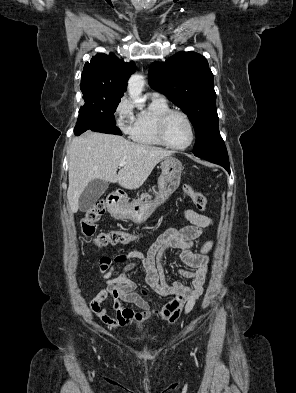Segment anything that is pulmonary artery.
<instances>
[{
	"mask_svg": "<svg viewBox=\"0 0 296 393\" xmlns=\"http://www.w3.org/2000/svg\"><path fill=\"white\" fill-rule=\"evenodd\" d=\"M152 97H154L156 99H159V100H162V101H166V98L163 95L159 94V93H153Z\"/></svg>",
	"mask_w": 296,
	"mask_h": 393,
	"instance_id": "1",
	"label": "pulmonary artery"
}]
</instances>
